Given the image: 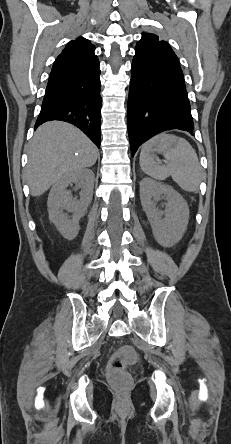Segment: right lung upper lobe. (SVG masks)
<instances>
[{
	"instance_id": "right-lung-upper-lobe-1",
	"label": "right lung upper lobe",
	"mask_w": 231,
	"mask_h": 444,
	"mask_svg": "<svg viewBox=\"0 0 231 444\" xmlns=\"http://www.w3.org/2000/svg\"><path fill=\"white\" fill-rule=\"evenodd\" d=\"M94 50V45L82 37L69 42L55 60L49 79H57L94 69L99 65Z\"/></svg>"
}]
</instances>
